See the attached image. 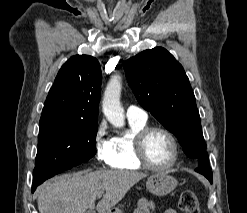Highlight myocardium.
Wrapping results in <instances>:
<instances>
[{"instance_id": "obj_1", "label": "myocardium", "mask_w": 247, "mask_h": 213, "mask_svg": "<svg viewBox=\"0 0 247 213\" xmlns=\"http://www.w3.org/2000/svg\"><path fill=\"white\" fill-rule=\"evenodd\" d=\"M154 131L164 133L170 140L173 149V155L171 161L165 166H155L151 164L145 155V141L148 135ZM133 152L136 161L144 168L156 171L165 172L173 168L179 159V144L175 135L167 128L159 125L145 126L139 130L133 140Z\"/></svg>"}]
</instances>
